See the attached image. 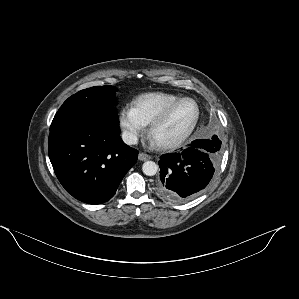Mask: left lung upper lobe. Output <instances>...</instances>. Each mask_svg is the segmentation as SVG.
<instances>
[{
  "label": "left lung upper lobe",
  "instance_id": "left-lung-upper-lobe-1",
  "mask_svg": "<svg viewBox=\"0 0 299 299\" xmlns=\"http://www.w3.org/2000/svg\"><path fill=\"white\" fill-rule=\"evenodd\" d=\"M210 140H212V142L215 144V147L217 146L219 147V149L221 148V141L219 140L217 135H213V137Z\"/></svg>",
  "mask_w": 299,
  "mask_h": 299
}]
</instances>
